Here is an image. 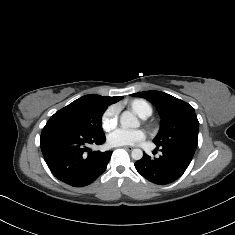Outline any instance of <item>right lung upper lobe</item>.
I'll return each instance as SVG.
<instances>
[{
	"mask_svg": "<svg viewBox=\"0 0 235 235\" xmlns=\"http://www.w3.org/2000/svg\"><path fill=\"white\" fill-rule=\"evenodd\" d=\"M122 98H123L122 96H117V97L105 96L104 97L100 95L90 94V95L82 96L78 100L84 103L91 110L104 112L110 104L116 103Z\"/></svg>",
	"mask_w": 235,
	"mask_h": 235,
	"instance_id": "right-lung-upper-lobe-1",
	"label": "right lung upper lobe"
}]
</instances>
